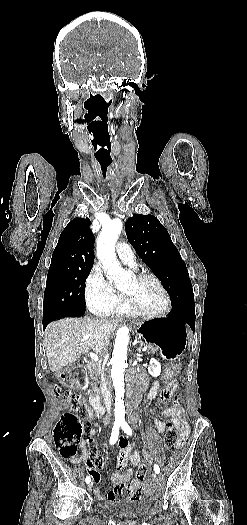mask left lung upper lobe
<instances>
[{
  "label": "left lung upper lobe",
  "mask_w": 247,
  "mask_h": 525,
  "mask_svg": "<svg viewBox=\"0 0 247 525\" xmlns=\"http://www.w3.org/2000/svg\"><path fill=\"white\" fill-rule=\"evenodd\" d=\"M128 241L162 282L174 306L194 303L185 262L167 229L153 215L134 214L125 223Z\"/></svg>",
  "instance_id": "5c2ea615"
}]
</instances>
